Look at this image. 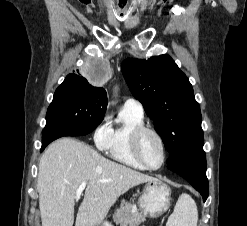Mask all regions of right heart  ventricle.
Segmentation results:
<instances>
[{
  "label": "right heart ventricle",
  "instance_id": "obj_1",
  "mask_svg": "<svg viewBox=\"0 0 247 226\" xmlns=\"http://www.w3.org/2000/svg\"><path fill=\"white\" fill-rule=\"evenodd\" d=\"M142 125H144L143 112L123 106L116 121L110 125L109 142L103 150L110 158L121 164L139 170L145 169L135 160L130 147L132 131Z\"/></svg>",
  "mask_w": 247,
  "mask_h": 226
}]
</instances>
